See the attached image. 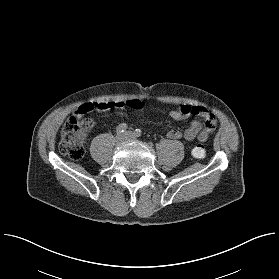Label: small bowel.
I'll list each match as a JSON object with an SVG mask.
<instances>
[{
    "instance_id": "small-bowel-1",
    "label": "small bowel",
    "mask_w": 279,
    "mask_h": 279,
    "mask_svg": "<svg viewBox=\"0 0 279 279\" xmlns=\"http://www.w3.org/2000/svg\"><path fill=\"white\" fill-rule=\"evenodd\" d=\"M123 101H101L88 103L80 106L75 115L81 116L92 110L107 111L114 107H123ZM169 115L174 120H183L189 116L196 115L203 119V124L199 120H192L188 128L181 132L178 129H170L167 132V137L172 140L184 138L185 140L199 139L205 141L210 134L215 130L217 125L216 117L202 106L183 105L179 109H171Z\"/></svg>"
}]
</instances>
